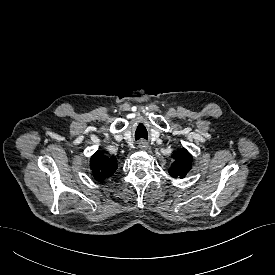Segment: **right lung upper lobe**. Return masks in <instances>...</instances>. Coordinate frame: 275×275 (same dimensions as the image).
I'll list each match as a JSON object with an SVG mask.
<instances>
[{
    "instance_id": "obj_1",
    "label": "right lung upper lobe",
    "mask_w": 275,
    "mask_h": 275,
    "mask_svg": "<svg viewBox=\"0 0 275 275\" xmlns=\"http://www.w3.org/2000/svg\"><path fill=\"white\" fill-rule=\"evenodd\" d=\"M90 168L97 181L110 177L117 169L116 157H107L99 150L91 157Z\"/></svg>"
}]
</instances>
